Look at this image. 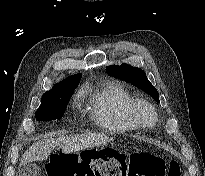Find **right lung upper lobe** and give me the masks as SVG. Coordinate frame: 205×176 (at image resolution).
I'll return each instance as SVG.
<instances>
[{
  "mask_svg": "<svg viewBox=\"0 0 205 176\" xmlns=\"http://www.w3.org/2000/svg\"><path fill=\"white\" fill-rule=\"evenodd\" d=\"M82 75L81 74H75L72 75L61 82L55 84L53 88L43 94V96H47L59 91L63 90H75V88L78 86L79 81L81 79Z\"/></svg>",
  "mask_w": 205,
  "mask_h": 176,
  "instance_id": "1",
  "label": "right lung upper lobe"
}]
</instances>
